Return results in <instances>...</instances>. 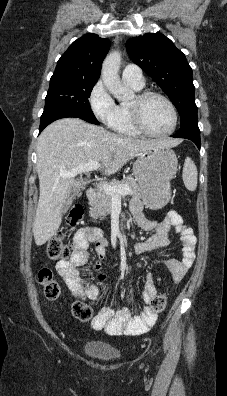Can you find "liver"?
Listing matches in <instances>:
<instances>
[{
  "label": "liver",
  "instance_id": "liver-1",
  "mask_svg": "<svg viewBox=\"0 0 227 396\" xmlns=\"http://www.w3.org/2000/svg\"><path fill=\"white\" fill-rule=\"evenodd\" d=\"M177 144L175 140L119 136L79 118H63L47 126L37 143L40 196L32 229L36 245L45 244L57 233L68 196L81 187L79 180L63 178L61 172L95 161L101 162L102 172L110 176L141 152Z\"/></svg>",
  "mask_w": 227,
  "mask_h": 396
}]
</instances>
